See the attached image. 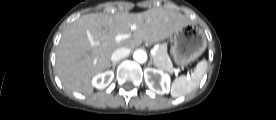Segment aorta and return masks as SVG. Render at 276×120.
<instances>
[{
  "instance_id": "aorta-1",
  "label": "aorta",
  "mask_w": 276,
  "mask_h": 120,
  "mask_svg": "<svg viewBox=\"0 0 276 120\" xmlns=\"http://www.w3.org/2000/svg\"><path fill=\"white\" fill-rule=\"evenodd\" d=\"M133 58L138 63H145L147 60V54L144 50L138 49L134 52Z\"/></svg>"
}]
</instances>
